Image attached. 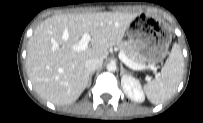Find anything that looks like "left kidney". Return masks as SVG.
<instances>
[{
    "label": "left kidney",
    "instance_id": "5707ae66",
    "mask_svg": "<svg viewBox=\"0 0 203 123\" xmlns=\"http://www.w3.org/2000/svg\"><path fill=\"white\" fill-rule=\"evenodd\" d=\"M121 86L127 97L135 102H143L145 95L139 80L129 74H125L121 78Z\"/></svg>",
    "mask_w": 203,
    "mask_h": 123
}]
</instances>
